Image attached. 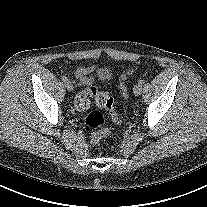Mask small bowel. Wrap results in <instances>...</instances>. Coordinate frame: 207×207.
<instances>
[{
    "label": "small bowel",
    "instance_id": "obj_1",
    "mask_svg": "<svg viewBox=\"0 0 207 207\" xmlns=\"http://www.w3.org/2000/svg\"><path fill=\"white\" fill-rule=\"evenodd\" d=\"M95 67H80L74 73V78L78 85L88 86L94 80Z\"/></svg>",
    "mask_w": 207,
    "mask_h": 207
}]
</instances>
